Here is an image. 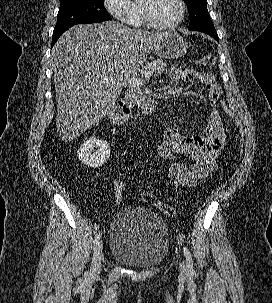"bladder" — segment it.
<instances>
[{"label": "bladder", "mask_w": 272, "mask_h": 303, "mask_svg": "<svg viewBox=\"0 0 272 303\" xmlns=\"http://www.w3.org/2000/svg\"><path fill=\"white\" fill-rule=\"evenodd\" d=\"M111 256L136 269L159 265L169 250V233L154 211L127 207L116 213L110 224Z\"/></svg>", "instance_id": "1"}]
</instances>
